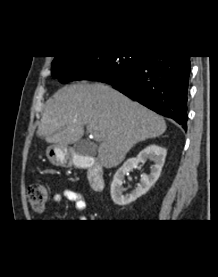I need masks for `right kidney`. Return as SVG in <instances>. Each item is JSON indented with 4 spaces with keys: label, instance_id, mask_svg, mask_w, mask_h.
<instances>
[{
    "label": "right kidney",
    "instance_id": "ca27d5eb",
    "mask_svg": "<svg viewBox=\"0 0 218 277\" xmlns=\"http://www.w3.org/2000/svg\"><path fill=\"white\" fill-rule=\"evenodd\" d=\"M166 154L167 151L165 148L152 144L142 150L136 158H129L125 161L116 171L111 184L110 193L113 202L117 205L125 206L148 192L160 176ZM147 159L154 162V165L150 167V174L142 175L138 186L130 194L123 195L124 188L122 185L125 182L126 173L133 168H137L139 163L144 162Z\"/></svg>",
    "mask_w": 218,
    "mask_h": 277
}]
</instances>
